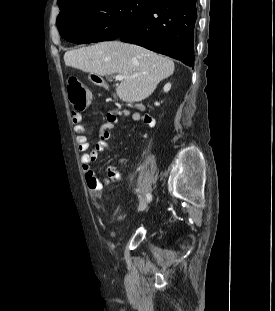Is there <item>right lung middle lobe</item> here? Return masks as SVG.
<instances>
[{
  "label": "right lung middle lobe",
  "mask_w": 275,
  "mask_h": 311,
  "mask_svg": "<svg viewBox=\"0 0 275 311\" xmlns=\"http://www.w3.org/2000/svg\"><path fill=\"white\" fill-rule=\"evenodd\" d=\"M159 0H70L59 6L60 35L86 44L116 39L138 15Z\"/></svg>",
  "instance_id": "right-lung-middle-lobe-1"
}]
</instances>
